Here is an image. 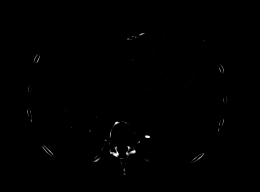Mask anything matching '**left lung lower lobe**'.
<instances>
[{
	"mask_svg": "<svg viewBox=\"0 0 260 192\" xmlns=\"http://www.w3.org/2000/svg\"><path fill=\"white\" fill-rule=\"evenodd\" d=\"M222 112L219 98L207 97L170 116H160L159 134L148 148L163 165L186 162L211 142Z\"/></svg>",
	"mask_w": 260,
	"mask_h": 192,
	"instance_id": "obj_1",
	"label": "left lung lower lobe"
}]
</instances>
